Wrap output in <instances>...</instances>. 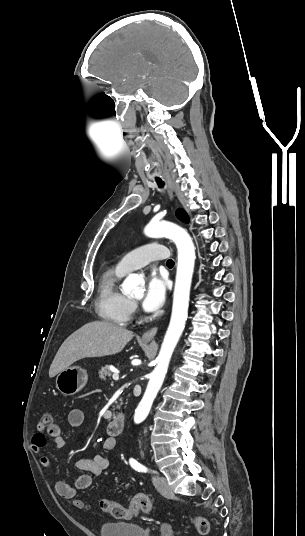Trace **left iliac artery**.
Here are the masks:
<instances>
[{
  "label": "left iliac artery",
  "instance_id": "44dca946",
  "mask_svg": "<svg viewBox=\"0 0 305 536\" xmlns=\"http://www.w3.org/2000/svg\"><path fill=\"white\" fill-rule=\"evenodd\" d=\"M129 462H130V465L138 472H147V468L143 466L142 464H140L139 462H137L135 459L131 458Z\"/></svg>",
  "mask_w": 305,
  "mask_h": 536
}]
</instances>
